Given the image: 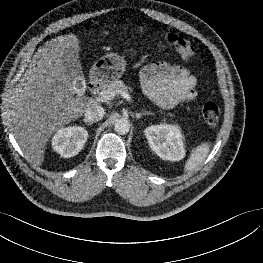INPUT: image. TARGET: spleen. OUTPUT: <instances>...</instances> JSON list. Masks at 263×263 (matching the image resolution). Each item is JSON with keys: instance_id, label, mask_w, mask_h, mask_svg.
<instances>
[{"instance_id": "3e777b00", "label": "spleen", "mask_w": 263, "mask_h": 263, "mask_svg": "<svg viewBox=\"0 0 263 263\" xmlns=\"http://www.w3.org/2000/svg\"><path fill=\"white\" fill-rule=\"evenodd\" d=\"M210 150L208 143L198 145L190 154L189 159L186 161L184 171L189 172L194 170L201 164L207 157Z\"/></svg>"}]
</instances>
